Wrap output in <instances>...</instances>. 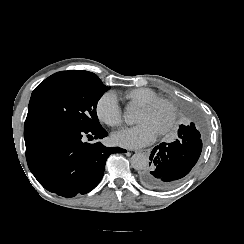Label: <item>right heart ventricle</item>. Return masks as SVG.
<instances>
[{"label": "right heart ventricle", "instance_id": "1", "mask_svg": "<svg viewBox=\"0 0 244 244\" xmlns=\"http://www.w3.org/2000/svg\"><path fill=\"white\" fill-rule=\"evenodd\" d=\"M116 97L129 101L130 104H135L137 107L152 102L158 96L157 94L148 88H135L126 91L115 92ZM169 118H171L169 116Z\"/></svg>", "mask_w": 244, "mask_h": 244}]
</instances>
